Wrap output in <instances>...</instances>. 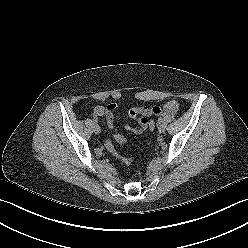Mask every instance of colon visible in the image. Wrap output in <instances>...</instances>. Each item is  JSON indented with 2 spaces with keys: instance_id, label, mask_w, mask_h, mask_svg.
Returning a JSON list of instances; mask_svg holds the SVG:
<instances>
[{
  "instance_id": "obj_1",
  "label": "colon",
  "mask_w": 248,
  "mask_h": 248,
  "mask_svg": "<svg viewBox=\"0 0 248 248\" xmlns=\"http://www.w3.org/2000/svg\"><path fill=\"white\" fill-rule=\"evenodd\" d=\"M156 127V123L154 120H149L148 121V129L149 130H154ZM114 139L117 143L119 144H124L126 142V139L124 136L120 134H116L114 136ZM106 148L110 154L115 156L118 160H120L122 163L129 165L131 163V159L128 157L121 156L117 153L116 149L114 148L113 144L111 141H107L106 143Z\"/></svg>"
}]
</instances>
